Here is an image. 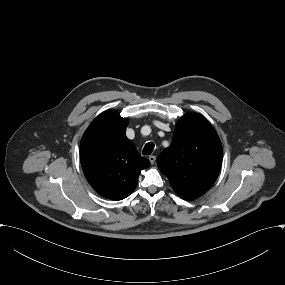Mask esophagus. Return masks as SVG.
<instances>
[{
	"instance_id": "34e87169",
	"label": "esophagus",
	"mask_w": 285,
	"mask_h": 285,
	"mask_svg": "<svg viewBox=\"0 0 285 285\" xmlns=\"http://www.w3.org/2000/svg\"><path fill=\"white\" fill-rule=\"evenodd\" d=\"M149 161H150V163L153 165L154 164V162H155V160H156V156H154V155H151V156H149Z\"/></svg>"
}]
</instances>
